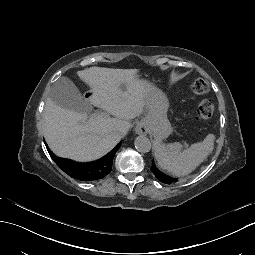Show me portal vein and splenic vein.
<instances>
[{
  "instance_id": "portal-vein-and-splenic-vein-1",
  "label": "portal vein and splenic vein",
  "mask_w": 255,
  "mask_h": 255,
  "mask_svg": "<svg viewBox=\"0 0 255 255\" xmlns=\"http://www.w3.org/2000/svg\"><path fill=\"white\" fill-rule=\"evenodd\" d=\"M99 115H104V116H105V115H107V114L101 113V114H99ZM95 116H98V115H94L93 117H95ZM93 117H92V118H93ZM85 122H86V121H83V123H85Z\"/></svg>"
}]
</instances>
